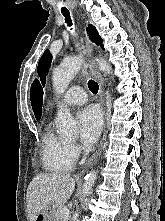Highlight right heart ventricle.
<instances>
[{
	"label": "right heart ventricle",
	"instance_id": "obj_1",
	"mask_svg": "<svg viewBox=\"0 0 165 221\" xmlns=\"http://www.w3.org/2000/svg\"><path fill=\"white\" fill-rule=\"evenodd\" d=\"M40 156L43 168L50 172L69 171L76 162L70 142L57 134L51 126L45 129L42 136Z\"/></svg>",
	"mask_w": 165,
	"mask_h": 221
}]
</instances>
